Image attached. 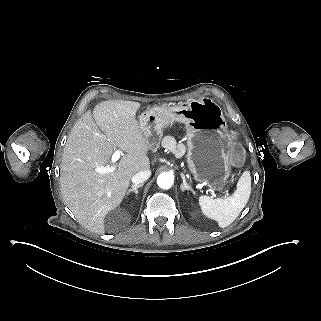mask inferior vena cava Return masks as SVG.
<instances>
[{"label":"inferior vena cava","instance_id":"602c4592","mask_svg":"<svg viewBox=\"0 0 321 321\" xmlns=\"http://www.w3.org/2000/svg\"><path fill=\"white\" fill-rule=\"evenodd\" d=\"M150 176H151L150 170L138 172L132 176L131 181L135 185L143 184L147 179L150 178Z\"/></svg>","mask_w":321,"mask_h":321}]
</instances>
